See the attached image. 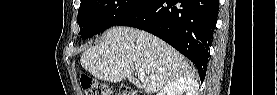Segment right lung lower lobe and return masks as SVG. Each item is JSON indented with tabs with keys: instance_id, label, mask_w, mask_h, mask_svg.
Wrapping results in <instances>:
<instances>
[{
	"instance_id": "1",
	"label": "right lung lower lobe",
	"mask_w": 277,
	"mask_h": 95,
	"mask_svg": "<svg viewBox=\"0 0 277 95\" xmlns=\"http://www.w3.org/2000/svg\"><path fill=\"white\" fill-rule=\"evenodd\" d=\"M218 9L219 0H143L116 25L161 38L196 65L202 82Z\"/></svg>"
}]
</instances>
